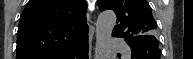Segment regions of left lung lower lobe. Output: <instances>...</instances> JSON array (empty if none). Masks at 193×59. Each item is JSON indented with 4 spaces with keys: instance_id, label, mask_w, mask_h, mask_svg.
<instances>
[{
    "instance_id": "left-lung-lower-lobe-1",
    "label": "left lung lower lobe",
    "mask_w": 193,
    "mask_h": 59,
    "mask_svg": "<svg viewBox=\"0 0 193 59\" xmlns=\"http://www.w3.org/2000/svg\"><path fill=\"white\" fill-rule=\"evenodd\" d=\"M131 47V59H160L161 50L158 47L157 39L140 40L133 38L127 41Z\"/></svg>"
}]
</instances>
